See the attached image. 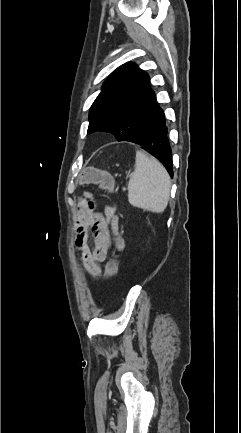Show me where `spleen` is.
Listing matches in <instances>:
<instances>
[{
	"label": "spleen",
	"instance_id": "spleen-1",
	"mask_svg": "<svg viewBox=\"0 0 241 433\" xmlns=\"http://www.w3.org/2000/svg\"><path fill=\"white\" fill-rule=\"evenodd\" d=\"M169 174L156 159L136 152L135 172L128 183V201L132 206L162 213L170 197Z\"/></svg>",
	"mask_w": 241,
	"mask_h": 433
}]
</instances>
